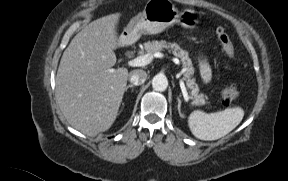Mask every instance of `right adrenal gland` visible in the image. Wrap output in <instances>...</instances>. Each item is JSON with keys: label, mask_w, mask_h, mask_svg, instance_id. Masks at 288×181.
<instances>
[{"label": "right adrenal gland", "mask_w": 288, "mask_h": 181, "mask_svg": "<svg viewBox=\"0 0 288 181\" xmlns=\"http://www.w3.org/2000/svg\"><path fill=\"white\" fill-rule=\"evenodd\" d=\"M135 87V85H133V84H131V85H128V86H126L125 87V91H127L128 90V88H134Z\"/></svg>", "instance_id": "right-adrenal-gland-1"}]
</instances>
